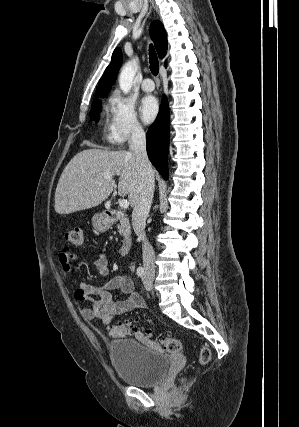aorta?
<instances>
[{
    "label": "aorta",
    "instance_id": "762f6f07",
    "mask_svg": "<svg viewBox=\"0 0 299 427\" xmlns=\"http://www.w3.org/2000/svg\"><path fill=\"white\" fill-rule=\"evenodd\" d=\"M135 76V63L128 61L122 68L119 75V86L124 93H128L132 87Z\"/></svg>",
    "mask_w": 299,
    "mask_h": 427
}]
</instances>
